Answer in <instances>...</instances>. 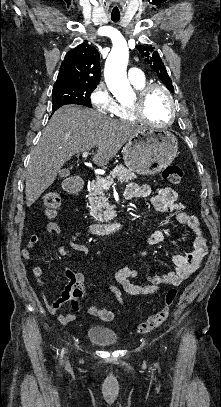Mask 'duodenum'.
I'll use <instances>...</instances> for the list:
<instances>
[{"mask_svg": "<svg viewBox=\"0 0 221 407\" xmlns=\"http://www.w3.org/2000/svg\"><path fill=\"white\" fill-rule=\"evenodd\" d=\"M84 188L83 183H70L66 186V190L69 194H75L82 191ZM125 227V222L122 220L103 223V224H94L91 226L90 231L92 234L96 235H108L113 233H118L122 231Z\"/></svg>", "mask_w": 221, "mask_h": 407, "instance_id": "410a0bca", "label": "duodenum"}]
</instances>
